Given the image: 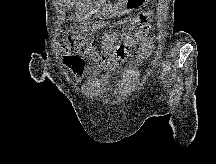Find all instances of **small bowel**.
Returning <instances> with one entry per match:
<instances>
[{"label":"small bowel","instance_id":"obj_1","mask_svg":"<svg viewBox=\"0 0 216 164\" xmlns=\"http://www.w3.org/2000/svg\"><path fill=\"white\" fill-rule=\"evenodd\" d=\"M152 12L129 17L124 21H119L117 25L127 24V28L122 34L114 31L108 32L102 40V52L108 55V58H100L99 62L107 73L115 70L128 57L129 48L139 45L138 52L135 56V63H140L148 57L154 46V41L150 36V25L148 23ZM139 26L135 32L134 28ZM87 54L95 55L93 47L89 48Z\"/></svg>","mask_w":216,"mask_h":164}]
</instances>
